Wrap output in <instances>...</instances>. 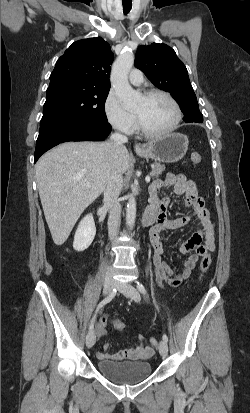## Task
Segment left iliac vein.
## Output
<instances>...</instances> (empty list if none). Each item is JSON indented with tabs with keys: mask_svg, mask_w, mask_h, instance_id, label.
Instances as JSON below:
<instances>
[{
	"mask_svg": "<svg viewBox=\"0 0 250 413\" xmlns=\"http://www.w3.org/2000/svg\"><path fill=\"white\" fill-rule=\"evenodd\" d=\"M118 290L124 294L127 298L134 300L135 302L140 301V294L138 290L129 283H119L117 285ZM159 352L160 354L165 357L168 353V345L167 342L162 340L159 343Z\"/></svg>",
	"mask_w": 250,
	"mask_h": 413,
	"instance_id": "4c4485c4",
	"label": "left iliac vein"
}]
</instances>
